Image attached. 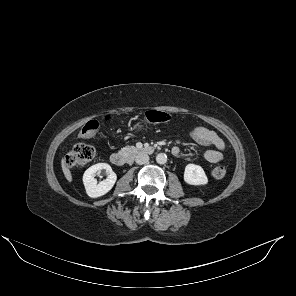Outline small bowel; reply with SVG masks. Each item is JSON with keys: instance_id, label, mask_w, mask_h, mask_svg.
<instances>
[{"instance_id": "small-bowel-1", "label": "small bowel", "mask_w": 296, "mask_h": 296, "mask_svg": "<svg viewBox=\"0 0 296 296\" xmlns=\"http://www.w3.org/2000/svg\"><path fill=\"white\" fill-rule=\"evenodd\" d=\"M189 135L195 142L203 146L212 147L211 149H207L203 154V158L207 162L218 163L223 159L225 143L214 131L197 126L189 131ZM172 154L175 156L180 155V148L177 146L173 147Z\"/></svg>"}]
</instances>
